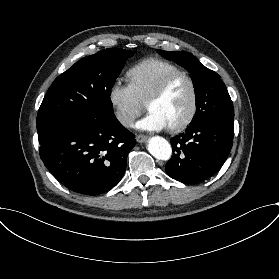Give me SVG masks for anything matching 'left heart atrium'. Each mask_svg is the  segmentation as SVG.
I'll return each instance as SVG.
<instances>
[{"instance_id":"1","label":"left heart atrium","mask_w":279,"mask_h":279,"mask_svg":"<svg viewBox=\"0 0 279 279\" xmlns=\"http://www.w3.org/2000/svg\"><path fill=\"white\" fill-rule=\"evenodd\" d=\"M136 128L144 131H161L168 128V125L157 113L149 111L147 115L136 124Z\"/></svg>"}]
</instances>
